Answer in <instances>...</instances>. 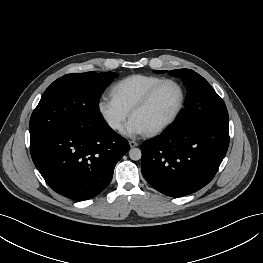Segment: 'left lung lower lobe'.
<instances>
[{"label": "left lung lower lobe", "instance_id": "0a47b994", "mask_svg": "<svg viewBox=\"0 0 263 263\" xmlns=\"http://www.w3.org/2000/svg\"><path fill=\"white\" fill-rule=\"evenodd\" d=\"M229 122L205 124L183 132L170 126L142 145V173L159 192L192 194L215 176L229 145Z\"/></svg>", "mask_w": 263, "mask_h": 263}]
</instances>
